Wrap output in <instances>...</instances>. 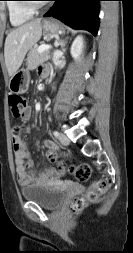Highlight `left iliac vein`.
<instances>
[{"label":"left iliac vein","mask_w":133,"mask_h":253,"mask_svg":"<svg viewBox=\"0 0 133 253\" xmlns=\"http://www.w3.org/2000/svg\"><path fill=\"white\" fill-rule=\"evenodd\" d=\"M59 141H60L61 144H63V145H69V143H70L69 138H68L64 133H61V134L59 135Z\"/></svg>","instance_id":"left-iliac-vein-1"}]
</instances>
